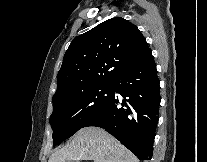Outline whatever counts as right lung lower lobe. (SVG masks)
Returning <instances> with one entry per match:
<instances>
[{"label": "right lung lower lobe", "mask_w": 207, "mask_h": 162, "mask_svg": "<svg viewBox=\"0 0 207 162\" xmlns=\"http://www.w3.org/2000/svg\"><path fill=\"white\" fill-rule=\"evenodd\" d=\"M113 87L110 100L84 127L104 128L140 160H151L161 100L153 57L127 69L114 81Z\"/></svg>", "instance_id": "obj_1"}]
</instances>
